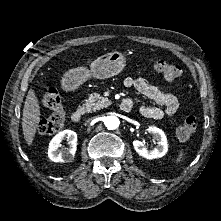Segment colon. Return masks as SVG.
<instances>
[{"instance_id":"colon-1","label":"colon","mask_w":221,"mask_h":221,"mask_svg":"<svg viewBox=\"0 0 221 221\" xmlns=\"http://www.w3.org/2000/svg\"><path fill=\"white\" fill-rule=\"evenodd\" d=\"M154 69L167 81H176L182 72L179 65L165 60L156 61L154 63ZM43 101L46 107L52 112L39 122L38 129L41 134L52 135L62 128L66 120V112L62 106L60 96L53 87L45 90ZM196 128V118L194 116H189L175 129V137L179 141H186L194 134Z\"/></svg>"}]
</instances>
